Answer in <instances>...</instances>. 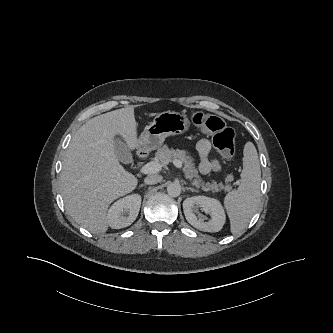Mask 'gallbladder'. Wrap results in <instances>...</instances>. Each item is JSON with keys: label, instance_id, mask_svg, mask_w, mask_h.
<instances>
[{"label": "gallbladder", "instance_id": "gallbladder-1", "mask_svg": "<svg viewBox=\"0 0 333 333\" xmlns=\"http://www.w3.org/2000/svg\"><path fill=\"white\" fill-rule=\"evenodd\" d=\"M115 153L117 158L123 163H131L133 158L130 149L124 142L121 136H116L114 139Z\"/></svg>", "mask_w": 333, "mask_h": 333}]
</instances>
